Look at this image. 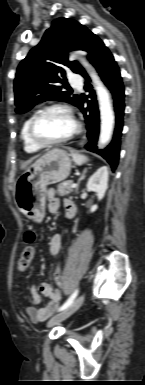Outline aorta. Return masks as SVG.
Instances as JSON below:
<instances>
[{
  "label": "aorta",
  "mask_w": 145,
  "mask_h": 385,
  "mask_svg": "<svg viewBox=\"0 0 145 385\" xmlns=\"http://www.w3.org/2000/svg\"><path fill=\"white\" fill-rule=\"evenodd\" d=\"M80 62L88 71L97 93L101 117L99 146H104L110 141L114 128V112L110 101V95L103 82L100 80L99 76L89 63L85 59L81 58Z\"/></svg>",
  "instance_id": "1"
}]
</instances>
